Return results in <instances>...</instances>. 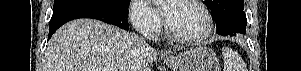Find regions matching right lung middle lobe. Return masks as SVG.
Returning a JSON list of instances; mask_svg holds the SVG:
<instances>
[{
	"label": "right lung middle lobe",
	"mask_w": 301,
	"mask_h": 71,
	"mask_svg": "<svg viewBox=\"0 0 301 71\" xmlns=\"http://www.w3.org/2000/svg\"><path fill=\"white\" fill-rule=\"evenodd\" d=\"M74 4L98 5L117 11H127L129 0H54L53 10L67 7Z\"/></svg>",
	"instance_id": "obj_1"
}]
</instances>
